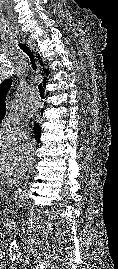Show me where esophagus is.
Returning a JSON list of instances; mask_svg holds the SVG:
<instances>
[{
	"mask_svg": "<svg viewBox=\"0 0 118 269\" xmlns=\"http://www.w3.org/2000/svg\"><path fill=\"white\" fill-rule=\"evenodd\" d=\"M26 43L31 48V50L35 53L36 49H35V46L32 44V42L30 40H26Z\"/></svg>",
	"mask_w": 118,
	"mask_h": 269,
	"instance_id": "esophagus-1",
	"label": "esophagus"
}]
</instances>
